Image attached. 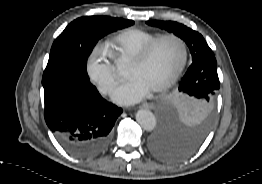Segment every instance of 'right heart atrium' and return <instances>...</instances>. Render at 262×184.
I'll use <instances>...</instances> for the list:
<instances>
[{
    "label": "right heart atrium",
    "instance_id": "d8ad5b80",
    "mask_svg": "<svg viewBox=\"0 0 262 184\" xmlns=\"http://www.w3.org/2000/svg\"><path fill=\"white\" fill-rule=\"evenodd\" d=\"M87 74L99 91L109 94L118 82V73L111 55L101 46H95L86 63Z\"/></svg>",
    "mask_w": 262,
    "mask_h": 184
}]
</instances>
